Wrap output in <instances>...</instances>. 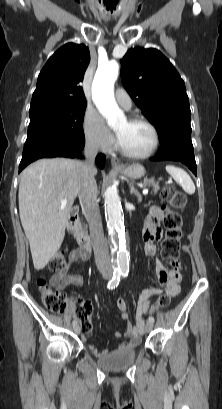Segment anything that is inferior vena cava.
Here are the masks:
<instances>
[{
	"label": "inferior vena cava",
	"mask_w": 222,
	"mask_h": 409,
	"mask_svg": "<svg viewBox=\"0 0 222 409\" xmlns=\"http://www.w3.org/2000/svg\"><path fill=\"white\" fill-rule=\"evenodd\" d=\"M96 141L88 139L84 148L85 161L79 172V201L82 211L88 221L91 242L97 268L101 272L112 269L108 245L104 238L100 210L97 202V184L95 181V157L98 153Z\"/></svg>",
	"instance_id": "602c4592"
}]
</instances>
